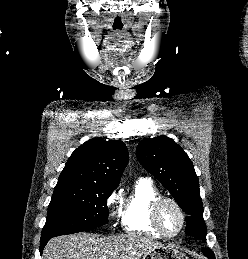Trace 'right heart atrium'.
Returning a JSON list of instances; mask_svg holds the SVG:
<instances>
[{"label": "right heart atrium", "mask_w": 248, "mask_h": 259, "mask_svg": "<svg viewBox=\"0 0 248 259\" xmlns=\"http://www.w3.org/2000/svg\"><path fill=\"white\" fill-rule=\"evenodd\" d=\"M116 201H117V194H116V192H113L109 196V198L107 200V204H108L109 207H113L115 205Z\"/></svg>", "instance_id": "1"}]
</instances>
